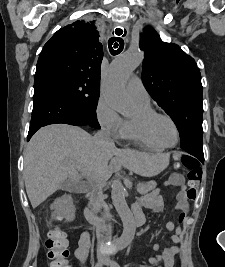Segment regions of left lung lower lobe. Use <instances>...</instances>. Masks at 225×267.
Returning a JSON list of instances; mask_svg holds the SVG:
<instances>
[{"mask_svg":"<svg viewBox=\"0 0 225 267\" xmlns=\"http://www.w3.org/2000/svg\"><path fill=\"white\" fill-rule=\"evenodd\" d=\"M189 154H191L194 157H196L201 163H204V155H203V152L191 151Z\"/></svg>","mask_w":225,"mask_h":267,"instance_id":"0a47b994","label":"left lung lower lobe"}]
</instances>
